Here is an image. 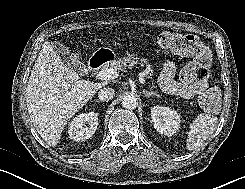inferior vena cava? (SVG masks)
Returning <instances> with one entry per match:
<instances>
[{"mask_svg": "<svg viewBox=\"0 0 245 189\" xmlns=\"http://www.w3.org/2000/svg\"><path fill=\"white\" fill-rule=\"evenodd\" d=\"M115 95V90L113 88H102L98 92V97L102 101H109Z\"/></svg>", "mask_w": 245, "mask_h": 189, "instance_id": "obj_1", "label": "inferior vena cava"}]
</instances>
